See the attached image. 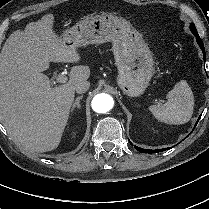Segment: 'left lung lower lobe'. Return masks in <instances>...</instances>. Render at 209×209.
I'll return each instance as SVG.
<instances>
[{
  "label": "left lung lower lobe",
  "mask_w": 209,
  "mask_h": 209,
  "mask_svg": "<svg viewBox=\"0 0 209 209\" xmlns=\"http://www.w3.org/2000/svg\"><path fill=\"white\" fill-rule=\"evenodd\" d=\"M192 33H193V35L196 37V41H197L198 45H199L200 48L202 49L203 58H204V61H205V59H206V54H205V48H204L203 42H202V40L200 39L197 30H196V31H192ZM199 119H200V118H199ZM199 119H198V121H199ZM198 121L196 122V125H197ZM196 125H195V126H196ZM130 143H131V142H130ZM135 148H136L139 152H142V153H158V152H162V151H165V150H168V149H169V148H165V149L149 150V149H143V148H140V147H137V146H135Z\"/></svg>",
  "instance_id": "obj_1"
}]
</instances>
